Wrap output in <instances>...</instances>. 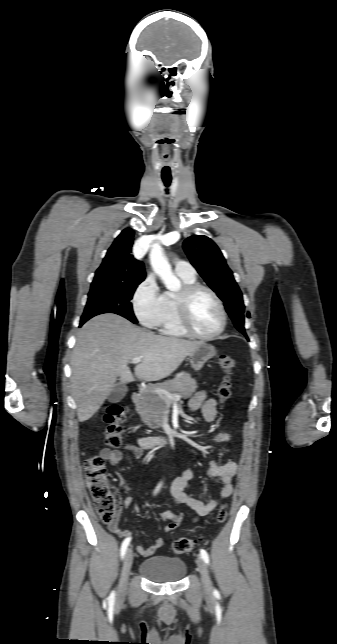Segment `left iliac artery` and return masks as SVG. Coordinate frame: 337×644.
Instances as JSON below:
<instances>
[{"mask_svg":"<svg viewBox=\"0 0 337 644\" xmlns=\"http://www.w3.org/2000/svg\"><path fill=\"white\" fill-rule=\"evenodd\" d=\"M200 555H201V558L204 560V562H205L206 564H209V561H210V560H209V555H208V553L206 552V550L201 549V550H200ZM216 592H217V591L215 590V593H216Z\"/></svg>","mask_w":337,"mask_h":644,"instance_id":"1","label":"left iliac artery"}]
</instances>
